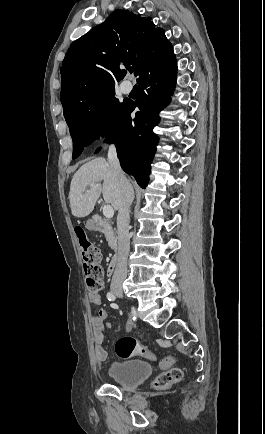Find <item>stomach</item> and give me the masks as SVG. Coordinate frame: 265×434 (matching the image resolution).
<instances>
[{"instance_id": "obj_1", "label": "stomach", "mask_w": 265, "mask_h": 434, "mask_svg": "<svg viewBox=\"0 0 265 434\" xmlns=\"http://www.w3.org/2000/svg\"><path fill=\"white\" fill-rule=\"evenodd\" d=\"M87 229H88V231L93 232L96 230V225L93 224L92 222H89Z\"/></svg>"}]
</instances>
